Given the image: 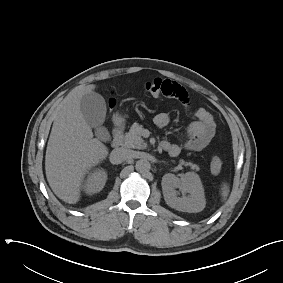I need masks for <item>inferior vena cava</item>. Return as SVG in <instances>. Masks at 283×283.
I'll return each mask as SVG.
<instances>
[{
	"label": "inferior vena cava",
	"mask_w": 283,
	"mask_h": 283,
	"mask_svg": "<svg viewBox=\"0 0 283 283\" xmlns=\"http://www.w3.org/2000/svg\"><path fill=\"white\" fill-rule=\"evenodd\" d=\"M134 152L130 149L117 148L114 149L110 154V162L112 164H120L133 157Z\"/></svg>",
	"instance_id": "obj_1"
}]
</instances>
